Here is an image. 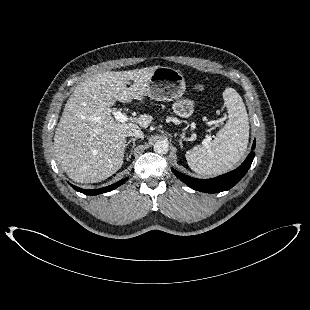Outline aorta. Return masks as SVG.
Segmentation results:
<instances>
[{"label": "aorta", "instance_id": "762f6f07", "mask_svg": "<svg viewBox=\"0 0 310 310\" xmlns=\"http://www.w3.org/2000/svg\"><path fill=\"white\" fill-rule=\"evenodd\" d=\"M153 148L158 154H166L168 152L169 144L165 140H160L155 142Z\"/></svg>", "mask_w": 310, "mask_h": 310}]
</instances>
